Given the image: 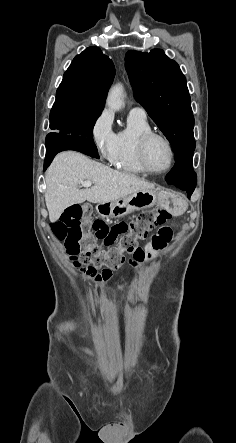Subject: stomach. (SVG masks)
Instances as JSON below:
<instances>
[{
  "label": "stomach",
  "instance_id": "obj_1",
  "mask_svg": "<svg viewBox=\"0 0 236 443\" xmlns=\"http://www.w3.org/2000/svg\"><path fill=\"white\" fill-rule=\"evenodd\" d=\"M159 204L174 215L182 214L186 207V201L179 195L156 189L141 190L132 193L119 200L100 203L96 210L104 218H121L134 211L151 208Z\"/></svg>",
  "mask_w": 236,
  "mask_h": 443
}]
</instances>
